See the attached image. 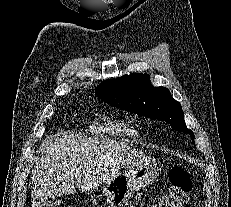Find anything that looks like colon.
Instances as JSON below:
<instances>
[{
	"instance_id": "colon-1",
	"label": "colon",
	"mask_w": 231,
	"mask_h": 207,
	"mask_svg": "<svg viewBox=\"0 0 231 207\" xmlns=\"http://www.w3.org/2000/svg\"><path fill=\"white\" fill-rule=\"evenodd\" d=\"M168 179L169 190L160 197L156 207H185L193 187L190 173L181 167H173L169 170ZM42 207L67 206L60 199H51L45 202Z\"/></svg>"
}]
</instances>
